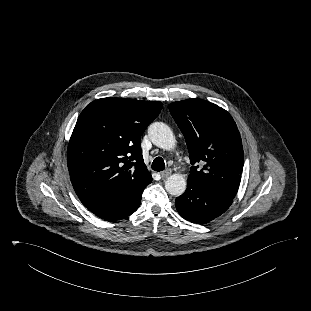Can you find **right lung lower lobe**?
<instances>
[{"label":"right lung lower lobe","instance_id":"obj_1","mask_svg":"<svg viewBox=\"0 0 311 311\" xmlns=\"http://www.w3.org/2000/svg\"><path fill=\"white\" fill-rule=\"evenodd\" d=\"M141 203V196L128 205L105 206L102 204L83 203L92 213L106 221L124 219L134 213Z\"/></svg>","mask_w":311,"mask_h":311}]
</instances>
